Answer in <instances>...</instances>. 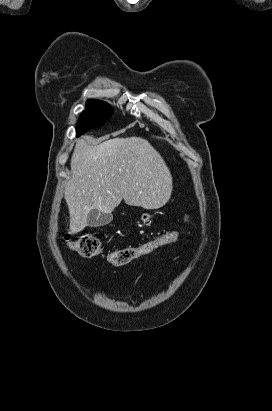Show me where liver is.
I'll use <instances>...</instances> for the list:
<instances>
[{
	"instance_id": "6515ba94",
	"label": "liver",
	"mask_w": 272,
	"mask_h": 411,
	"mask_svg": "<svg viewBox=\"0 0 272 411\" xmlns=\"http://www.w3.org/2000/svg\"><path fill=\"white\" fill-rule=\"evenodd\" d=\"M171 193L170 171L146 139L114 138L93 146L81 138L71 157V178L64 196L70 233L88 225L92 209L111 214L122 199L130 206L158 209Z\"/></svg>"
}]
</instances>
